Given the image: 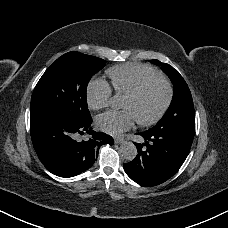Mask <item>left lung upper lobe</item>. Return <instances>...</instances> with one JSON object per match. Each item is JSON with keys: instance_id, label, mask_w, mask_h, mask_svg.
<instances>
[{"instance_id": "obj_1", "label": "left lung upper lobe", "mask_w": 228, "mask_h": 228, "mask_svg": "<svg viewBox=\"0 0 228 228\" xmlns=\"http://www.w3.org/2000/svg\"><path fill=\"white\" fill-rule=\"evenodd\" d=\"M151 62L156 65L161 64L158 60ZM161 68L173 83L174 94L168 110L152 128L195 134V111L188 85L178 71L169 64H164Z\"/></svg>"}]
</instances>
